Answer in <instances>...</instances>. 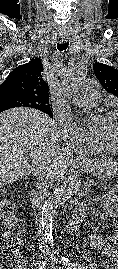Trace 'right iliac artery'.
<instances>
[{"label":"right iliac artery","instance_id":"82829eb1","mask_svg":"<svg viewBox=\"0 0 118 269\" xmlns=\"http://www.w3.org/2000/svg\"><path fill=\"white\" fill-rule=\"evenodd\" d=\"M38 264V269H44L46 267V262H39Z\"/></svg>","mask_w":118,"mask_h":269}]
</instances>
